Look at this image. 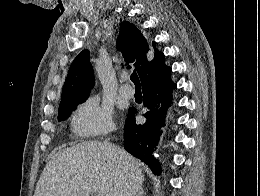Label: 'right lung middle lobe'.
Returning a JSON list of instances; mask_svg holds the SVG:
<instances>
[{"label":"right lung middle lobe","mask_w":260,"mask_h":196,"mask_svg":"<svg viewBox=\"0 0 260 196\" xmlns=\"http://www.w3.org/2000/svg\"><path fill=\"white\" fill-rule=\"evenodd\" d=\"M86 98L87 97L76 100L64 107L63 109H60L58 114V121L66 120L70 116L71 112L76 108V106L79 103L83 102Z\"/></svg>","instance_id":"dd1d6c3e"}]
</instances>
